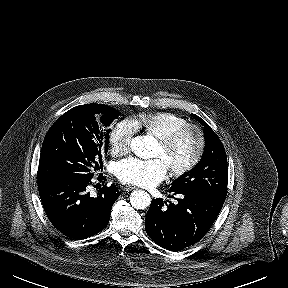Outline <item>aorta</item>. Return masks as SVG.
<instances>
[{
    "mask_svg": "<svg viewBox=\"0 0 288 288\" xmlns=\"http://www.w3.org/2000/svg\"><path fill=\"white\" fill-rule=\"evenodd\" d=\"M157 142L152 136H137L131 141L132 151L140 158L154 156ZM130 203L136 209H145L151 203L150 195L143 190H135L130 195Z\"/></svg>",
    "mask_w": 288,
    "mask_h": 288,
    "instance_id": "aorta-1",
    "label": "aorta"
}]
</instances>
